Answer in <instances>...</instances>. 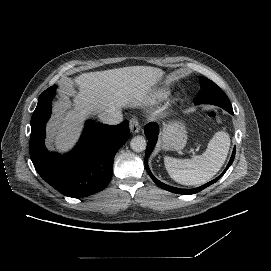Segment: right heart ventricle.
Returning <instances> with one entry per match:
<instances>
[{"mask_svg":"<svg viewBox=\"0 0 271 271\" xmlns=\"http://www.w3.org/2000/svg\"><path fill=\"white\" fill-rule=\"evenodd\" d=\"M170 92H171V89L168 86H162V87L156 88L152 92L151 96L155 100H164L169 96Z\"/></svg>","mask_w":271,"mask_h":271,"instance_id":"right-heart-ventricle-1","label":"right heart ventricle"}]
</instances>
